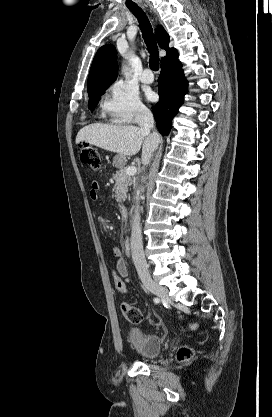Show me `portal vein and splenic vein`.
<instances>
[{"mask_svg":"<svg viewBox=\"0 0 272 417\" xmlns=\"http://www.w3.org/2000/svg\"><path fill=\"white\" fill-rule=\"evenodd\" d=\"M136 172H137V168L135 166H131L126 169V173L129 176H134Z\"/></svg>","mask_w":272,"mask_h":417,"instance_id":"portal-vein-and-splenic-vein-1","label":"portal vein and splenic vein"}]
</instances>
